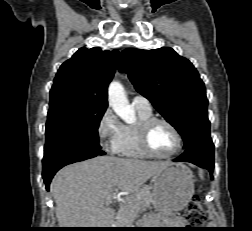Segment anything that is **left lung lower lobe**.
<instances>
[{"label": "left lung lower lobe", "instance_id": "0a47b994", "mask_svg": "<svg viewBox=\"0 0 252 231\" xmlns=\"http://www.w3.org/2000/svg\"><path fill=\"white\" fill-rule=\"evenodd\" d=\"M176 162H190L199 167L206 168L213 175L214 144L213 142L196 143L185 149L181 156L174 159Z\"/></svg>", "mask_w": 252, "mask_h": 231}]
</instances>
